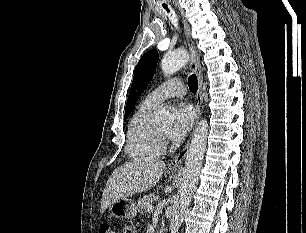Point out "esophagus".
<instances>
[{
    "label": "esophagus",
    "mask_w": 306,
    "mask_h": 233,
    "mask_svg": "<svg viewBox=\"0 0 306 233\" xmlns=\"http://www.w3.org/2000/svg\"><path fill=\"white\" fill-rule=\"evenodd\" d=\"M184 27H185V34L186 39L191 55L190 59V68L191 70L196 74L198 79V90L196 93V124L200 118L201 115V104L203 99V77L201 73V66H200V59L198 55L197 48L195 46V43L191 36L190 26L187 23V21L183 17ZM189 143L190 140L187 142L186 146L183 148V150L175 156V158L170 162L169 167L170 168H180L182 166V163L186 157V154L189 149Z\"/></svg>",
    "instance_id": "esophagus-1"
}]
</instances>
